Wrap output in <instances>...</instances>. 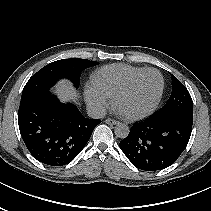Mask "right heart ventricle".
Segmentation results:
<instances>
[{
    "instance_id": "1",
    "label": "right heart ventricle",
    "mask_w": 211,
    "mask_h": 211,
    "mask_svg": "<svg viewBox=\"0 0 211 211\" xmlns=\"http://www.w3.org/2000/svg\"><path fill=\"white\" fill-rule=\"evenodd\" d=\"M145 70L126 64H112L100 68L92 78V83L113 97L135 75Z\"/></svg>"
}]
</instances>
